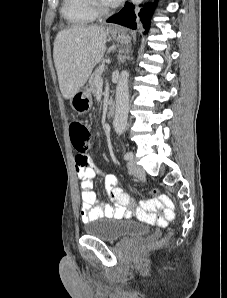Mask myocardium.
I'll list each match as a JSON object with an SVG mask.
<instances>
[{
    "mask_svg": "<svg viewBox=\"0 0 227 298\" xmlns=\"http://www.w3.org/2000/svg\"><path fill=\"white\" fill-rule=\"evenodd\" d=\"M93 10L97 15H106L110 12V9L104 5L100 0H91Z\"/></svg>",
    "mask_w": 227,
    "mask_h": 298,
    "instance_id": "1",
    "label": "myocardium"
}]
</instances>
